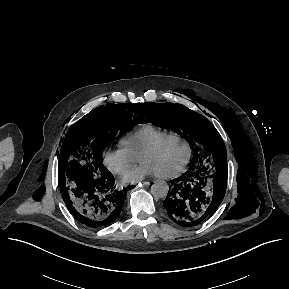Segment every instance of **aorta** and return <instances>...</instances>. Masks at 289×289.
<instances>
[{"label": "aorta", "instance_id": "1", "mask_svg": "<svg viewBox=\"0 0 289 289\" xmlns=\"http://www.w3.org/2000/svg\"><path fill=\"white\" fill-rule=\"evenodd\" d=\"M169 186L166 181L158 180L151 186V193L155 198H165L168 194Z\"/></svg>", "mask_w": 289, "mask_h": 289}]
</instances>
